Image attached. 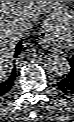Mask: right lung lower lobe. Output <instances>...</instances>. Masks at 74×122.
Returning <instances> with one entry per match:
<instances>
[{
  "mask_svg": "<svg viewBox=\"0 0 74 122\" xmlns=\"http://www.w3.org/2000/svg\"><path fill=\"white\" fill-rule=\"evenodd\" d=\"M22 51H23V45L22 41H20L15 48L14 57L16 58ZM15 78H16V69L13 68L11 75L8 78H6L5 80L2 79L0 80V96L10 90V88L14 84Z\"/></svg>",
  "mask_w": 74,
  "mask_h": 122,
  "instance_id": "98d812e1",
  "label": "right lung lower lobe"
}]
</instances>
